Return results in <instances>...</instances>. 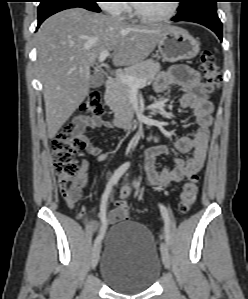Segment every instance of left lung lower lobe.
I'll return each instance as SVG.
<instances>
[{
    "instance_id": "0a47b994",
    "label": "left lung lower lobe",
    "mask_w": 248,
    "mask_h": 299,
    "mask_svg": "<svg viewBox=\"0 0 248 299\" xmlns=\"http://www.w3.org/2000/svg\"><path fill=\"white\" fill-rule=\"evenodd\" d=\"M173 21H189L199 23L211 29L217 34L219 39L222 41V23L217 15L216 9L208 8L197 11L190 16H184L180 12L172 18Z\"/></svg>"
}]
</instances>
